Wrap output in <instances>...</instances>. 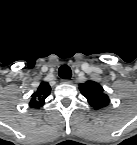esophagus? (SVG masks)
<instances>
[{
	"mask_svg": "<svg viewBox=\"0 0 137 145\" xmlns=\"http://www.w3.org/2000/svg\"><path fill=\"white\" fill-rule=\"evenodd\" d=\"M62 83L71 84L72 83V80H70V79H63L62 80Z\"/></svg>",
	"mask_w": 137,
	"mask_h": 145,
	"instance_id": "1",
	"label": "esophagus"
}]
</instances>
